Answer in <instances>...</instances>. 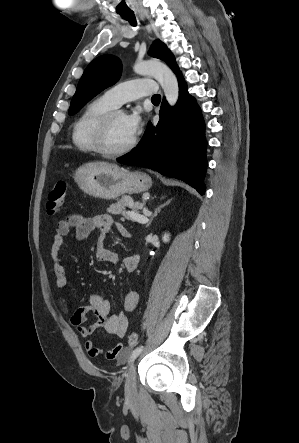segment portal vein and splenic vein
Wrapping results in <instances>:
<instances>
[{
	"label": "portal vein and splenic vein",
	"instance_id": "1",
	"mask_svg": "<svg viewBox=\"0 0 299 443\" xmlns=\"http://www.w3.org/2000/svg\"><path fill=\"white\" fill-rule=\"evenodd\" d=\"M128 216L141 224H146L148 222V218L146 216L134 213V212H128Z\"/></svg>",
	"mask_w": 299,
	"mask_h": 443
}]
</instances>
